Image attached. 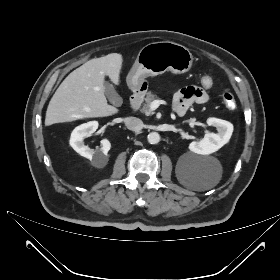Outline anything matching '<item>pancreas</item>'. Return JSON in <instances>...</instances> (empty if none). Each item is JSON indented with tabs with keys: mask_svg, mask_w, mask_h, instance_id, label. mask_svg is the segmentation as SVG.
<instances>
[{
	"mask_svg": "<svg viewBox=\"0 0 280 280\" xmlns=\"http://www.w3.org/2000/svg\"><path fill=\"white\" fill-rule=\"evenodd\" d=\"M156 95L149 91L145 98V104L143 105L141 112L145 113L146 115L152 114L150 110V104L156 99Z\"/></svg>",
	"mask_w": 280,
	"mask_h": 280,
	"instance_id": "obj_1",
	"label": "pancreas"
}]
</instances>
